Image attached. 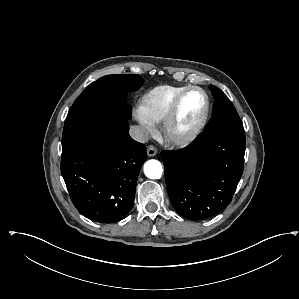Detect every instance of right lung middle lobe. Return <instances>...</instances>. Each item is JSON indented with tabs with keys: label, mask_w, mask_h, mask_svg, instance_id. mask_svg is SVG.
Wrapping results in <instances>:
<instances>
[{
	"label": "right lung middle lobe",
	"mask_w": 299,
	"mask_h": 299,
	"mask_svg": "<svg viewBox=\"0 0 299 299\" xmlns=\"http://www.w3.org/2000/svg\"><path fill=\"white\" fill-rule=\"evenodd\" d=\"M143 79L139 75H107L93 82L75 100L66 118L62 137V151L98 124L115 117L129 119L131 106L125 94L139 89Z\"/></svg>",
	"instance_id": "right-lung-middle-lobe-1"
}]
</instances>
